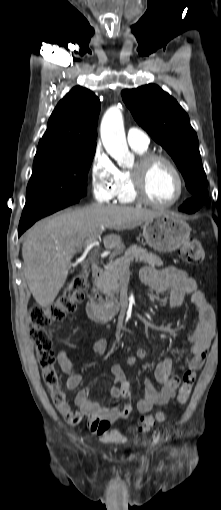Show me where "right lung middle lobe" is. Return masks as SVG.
I'll return each mask as SVG.
<instances>
[{"label": "right lung middle lobe", "instance_id": "obj_1", "mask_svg": "<svg viewBox=\"0 0 221 510\" xmlns=\"http://www.w3.org/2000/svg\"><path fill=\"white\" fill-rule=\"evenodd\" d=\"M96 147L35 158L26 205L47 210L78 203L87 194V175Z\"/></svg>", "mask_w": 221, "mask_h": 510}]
</instances>
